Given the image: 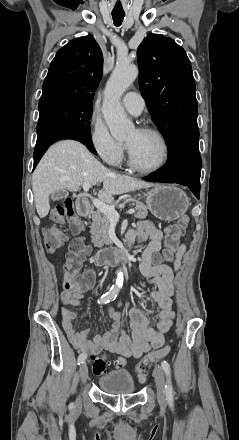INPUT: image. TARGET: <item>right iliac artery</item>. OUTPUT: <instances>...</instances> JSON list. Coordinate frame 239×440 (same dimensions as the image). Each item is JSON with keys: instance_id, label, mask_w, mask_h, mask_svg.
Here are the masks:
<instances>
[{"instance_id": "1", "label": "right iliac artery", "mask_w": 239, "mask_h": 440, "mask_svg": "<svg viewBox=\"0 0 239 440\" xmlns=\"http://www.w3.org/2000/svg\"><path fill=\"white\" fill-rule=\"evenodd\" d=\"M118 292H119V287L112 286L111 289L106 294L102 295L101 298H99L98 303L99 304H106V303H109L110 301L115 300ZM86 358H87L86 354H84V353L80 354L78 357V364L79 365L82 364ZM71 406L73 407V404H71Z\"/></svg>"}]
</instances>
